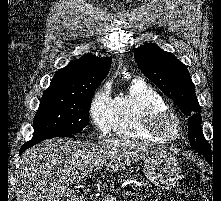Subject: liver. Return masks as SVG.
Wrapping results in <instances>:
<instances>
[{
    "instance_id": "liver-1",
    "label": "liver",
    "mask_w": 221,
    "mask_h": 201,
    "mask_svg": "<svg viewBox=\"0 0 221 201\" xmlns=\"http://www.w3.org/2000/svg\"><path fill=\"white\" fill-rule=\"evenodd\" d=\"M128 138L97 143L53 139L22 155L17 201H68L66 191L96 168L115 172L150 154L165 151Z\"/></svg>"
}]
</instances>
